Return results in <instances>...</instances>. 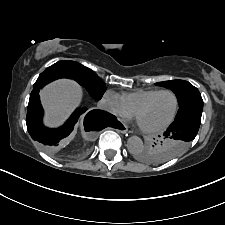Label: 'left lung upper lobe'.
I'll return each mask as SVG.
<instances>
[{
	"label": "left lung upper lobe",
	"mask_w": 225,
	"mask_h": 225,
	"mask_svg": "<svg viewBox=\"0 0 225 225\" xmlns=\"http://www.w3.org/2000/svg\"><path fill=\"white\" fill-rule=\"evenodd\" d=\"M156 85L169 88L176 94L179 103L176 118L195 111L202 112L203 100L201 94L198 89L189 82L184 80H171L158 82ZM189 143L190 142L184 140L164 136L160 141L155 143V145L139 153L138 157L140 160L147 163H162L174 156L172 152L174 145H184L183 150H185Z\"/></svg>",
	"instance_id": "obj_1"
}]
</instances>
